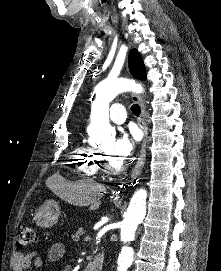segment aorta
Returning <instances> with one entry per match:
<instances>
[{
  "instance_id": "obj_1",
  "label": "aorta",
  "mask_w": 221,
  "mask_h": 271,
  "mask_svg": "<svg viewBox=\"0 0 221 271\" xmlns=\"http://www.w3.org/2000/svg\"><path fill=\"white\" fill-rule=\"evenodd\" d=\"M134 90L143 91L140 85L126 78L106 79L95 88V99L91 110L92 127L100 133H109L112 128L109 124V103L120 93ZM147 192L144 189L137 190L129 203L124 220L121 225V241L128 244L135 238L137 226L142 222L146 214ZM134 250L128 245L121 248L117 260V271H127L133 262Z\"/></svg>"
}]
</instances>
